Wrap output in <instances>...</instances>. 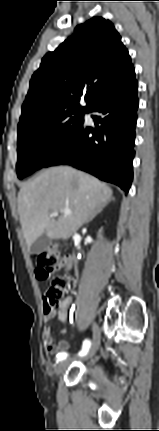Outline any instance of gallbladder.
<instances>
[{
    "instance_id": "gallbladder-1",
    "label": "gallbladder",
    "mask_w": 159,
    "mask_h": 431,
    "mask_svg": "<svg viewBox=\"0 0 159 431\" xmlns=\"http://www.w3.org/2000/svg\"><path fill=\"white\" fill-rule=\"evenodd\" d=\"M51 244V239L46 233H43L38 237L35 242L31 245V252L33 254H38L46 250Z\"/></svg>"
}]
</instances>
